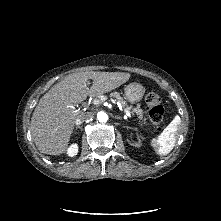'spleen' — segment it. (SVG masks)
I'll use <instances>...</instances> for the list:
<instances>
[{"mask_svg": "<svg viewBox=\"0 0 221 221\" xmlns=\"http://www.w3.org/2000/svg\"><path fill=\"white\" fill-rule=\"evenodd\" d=\"M181 124V118L176 115L163 132L152 141L156 153L160 156L169 154L175 146L178 127Z\"/></svg>", "mask_w": 221, "mask_h": 221, "instance_id": "3e777b00", "label": "spleen"}]
</instances>
